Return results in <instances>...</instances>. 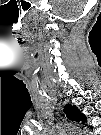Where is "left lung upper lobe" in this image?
I'll use <instances>...</instances> for the list:
<instances>
[{"mask_svg":"<svg viewBox=\"0 0 101 135\" xmlns=\"http://www.w3.org/2000/svg\"><path fill=\"white\" fill-rule=\"evenodd\" d=\"M64 111L67 115V117L73 121H86V118L81 112L76 108L75 106L66 105L64 108Z\"/></svg>","mask_w":101,"mask_h":135,"instance_id":"1","label":"left lung upper lobe"}]
</instances>
